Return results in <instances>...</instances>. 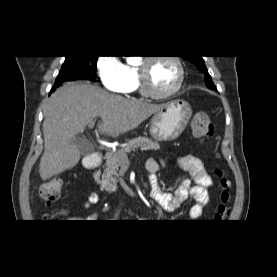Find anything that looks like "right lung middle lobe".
Returning <instances> with one entry per match:
<instances>
[{"label": "right lung middle lobe", "instance_id": "obj_1", "mask_svg": "<svg viewBox=\"0 0 277 277\" xmlns=\"http://www.w3.org/2000/svg\"><path fill=\"white\" fill-rule=\"evenodd\" d=\"M98 56H66L60 75L78 74L84 79L94 80Z\"/></svg>", "mask_w": 277, "mask_h": 277}]
</instances>
